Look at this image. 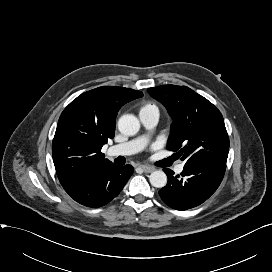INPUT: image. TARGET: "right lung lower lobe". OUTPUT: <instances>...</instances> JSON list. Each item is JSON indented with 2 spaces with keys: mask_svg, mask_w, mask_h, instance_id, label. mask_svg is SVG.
<instances>
[{
  "mask_svg": "<svg viewBox=\"0 0 272 272\" xmlns=\"http://www.w3.org/2000/svg\"><path fill=\"white\" fill-rule=\"evenodd\" d=\"M134 169L131 165H103L65 191L76 202L92 208L106 205L123 189Z\"/></svg>",
  "mask_w": 272,
  "mask_h": 272,
  "instance_id": "1",
  "label": "right lung lower lobe"
}]
</instances>
